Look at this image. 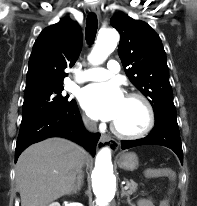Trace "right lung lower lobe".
<instances>
[{"mask_svg":"<svg viewBox=\"0 0 197 206\" xmlns=\"http://www.w3.org/2000/svg\"><path fill=\"white\" fill-rule=\"evenodd\" d=\"M54 136L70 139L94 155L100 134H91L85 130L76 103L61 111L22 120L16 143L15 162L31 144Z\"/></svg>","mask_w":197,"mask_h":206,"instance_id":"obj_1","label":"right lung lower lobe"}]
</instances>
